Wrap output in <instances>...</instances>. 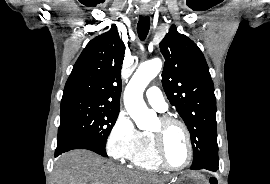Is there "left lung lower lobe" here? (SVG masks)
I'll return each instance as SVG.
<instances>
[{"instance_id": "left-lung-lower-lobe-1", "label": "left lung lower lobe", "mask_w": 270, "mask_h": 184, "mask_svg": "<svg viewBox=\"0 0 270 184\" xmlns=\"http://www.w3.org/2000/svg\"><path fill=\"white\" fill-rule=\"evenodd\" d=\"M198 169H206V170H210V171L216 172L218 170V161L206 162L203 165H201Z\"/></svg>"}]
</instances>
